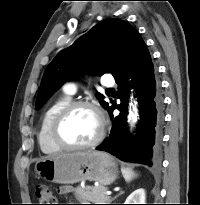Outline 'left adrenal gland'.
I'll return each mask as SVG.
<instances>
[{
  "label": "left adrenal gland",
  "mask_w": 200,
  "mask_h": 205,
  "mask_svg": "<svg viewBox=\"0 0 200 205\" xmlns=\"http://www.w3.org/2000/svg\"><path fill=\"white\" fill-rule=\"evenodd\" d=\"M124 193V191H120L111 201L115 200L118 196L122 195Z\"/></svg>",
  "instance_id": "obj_1"
}]
</instances>
